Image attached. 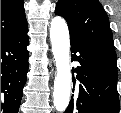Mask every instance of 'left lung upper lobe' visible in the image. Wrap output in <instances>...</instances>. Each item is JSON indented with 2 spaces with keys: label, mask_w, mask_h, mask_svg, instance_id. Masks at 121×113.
<instances>
[{
  "label": "left lung upper lobe",
  "mask_w": 121,
  "mask_h": 113,
  "mask_svg": "<svg viewBox=\"0 0 121 113\" xmlns=\"http://www.w3.org/2000/svg\"><path fill=\"white\" fill-rule=\"evenodd\" d=\"M55 14L66 19L70 38L117 70L109 19L98 0H59Z\"/></svg>",
  "instance_id": "5c2ea615"
}]
</instances>
